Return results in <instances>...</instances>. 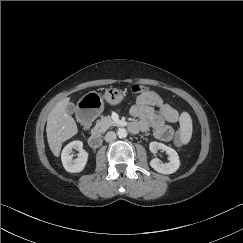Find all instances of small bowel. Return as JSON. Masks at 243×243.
Listing matches in <instances>:
<instances>
[{"instance_id":"obj_1","label":"small bowel","mask_w":243,"mask_h":243,"mask_svg":"<svg viewBox=\"0 0 243 243\" xmlns=\"http://www.w3.org/2000/svg\"><path fill=\"white\" fill-rule=\"evenodd\" d=\"M130 113L134 118H137V121L131 123L134 129L130 130L133 133L153 129L155 137L164 142L171 141L174 134L173 130L166 125V122L175 124L180 121L178 111L152 90L137 97Z\"/></svg>"}]
</instances>
